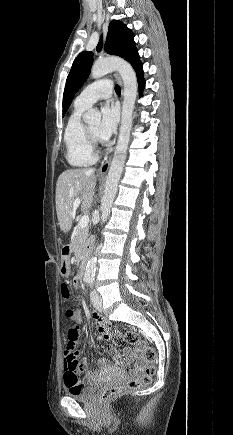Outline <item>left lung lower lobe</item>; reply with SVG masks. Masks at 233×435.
Returning a JSON list of instances; mask_svg holds the SVG:
<instances>
[{"mask_svg": "<svg viewBox=\"0 0 233 435\" xmlns=\"http://www.w3.org/2000/svg\"><path fill=\"white\" fill-rule=\"evenodd\" d=\"M136 73H137V78H138V84H139V93H140V97L142 96V90L145 87V80L143 78V67L142 65L138 68L135 69Z\"/></svg>", "mask_w": 233, "mask_h": 435, "instance_id": "0a47b994", "label": "left lung lower lobe"}]
</instances>
